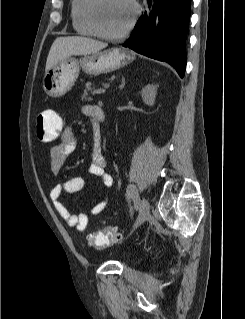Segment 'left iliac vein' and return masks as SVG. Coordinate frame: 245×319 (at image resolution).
<instances>
[{
	"instance_id": "4c4485c4",
	"label": "left iliac vein",
	"mask_w": 245,
	"mask_h": 319,
	"mask_svg": "<svg viewBox=\"0 0 245 319\" xmlns=\"http://www.w3.org/2000/svg\"><path fill=\"white\" fill-rule=\"evenodd\" d=\"M149 212V202L145 198H142L139 204V215L134 225V229L140 226L147 219V217L149 216Z\"/></svg>"
}]
</instances>
